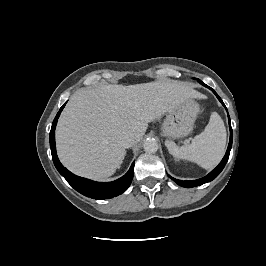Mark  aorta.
I'll return each mask as SVG.
<instances>
[{
	"label": "aorta",
	"mask_w": 266,
	"mask_h": 266,
	"mask_svg": "<svg viewBox=\"0 0 266 266\" xmlns=\"http://www.w3.org/2000/svg\"><path fill=\"white\" fill-rule=\"evenodd\" d=\"M143 148L147 153H155L158 150V143L154 139H148L144 142Z\"/></svg>",
	"instance_id": "aorta-1"
}]
</instances>
